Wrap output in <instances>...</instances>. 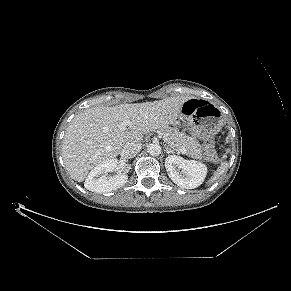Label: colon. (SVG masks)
<instances>
[{
  "label": "colon",
  "instance_id": "colon-1",
  "mask_svg": "<svg viewBox=\"0 0 291 291\" xmlns=\"http://www.w3.org/2000/svg\"><path fill=\"white\" fill-rule=\"evenodd\" d=\"M200 105V102L197 103V106ZM203 152L205 156L211 160H217V155L215 151V144L213 140H207L203 146Z\"/></svg>",
  "mask_w": 291,
  "mask_h": 291
}]
</instances>
